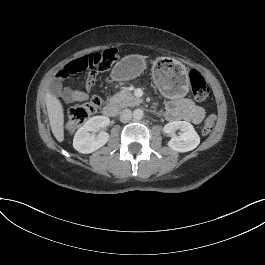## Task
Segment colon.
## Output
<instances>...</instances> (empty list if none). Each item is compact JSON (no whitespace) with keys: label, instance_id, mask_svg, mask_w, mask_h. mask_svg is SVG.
<instances>
[{"label":"colon","instance_id":"5ec220e1","mask_svg":"<svg viewBox=\"0 0 265 265\" xmlns=\"http://www.w3.org/2000/svg\"><path fill=\"white\" fill-rule=\"evenodd\" d=\"M117 52L114 49H108L100 53H90L76 60L71 61L61 68L56 78L63 80L68 76L87 70H97L104 72L109 70L115 60ZM191 91L196 100L202 101L207 98L210 92V86L205 78L196 70L189 73ZM101 105L99 96L94 95L88 101L73 106L69 112L66 121V129L74 131L82 126L91 116H93ZM216 124V116L210 115L204 123L203 133L209 134Z\"/></svg>","mask_w":265,"mask_h":265}]
</instances>
